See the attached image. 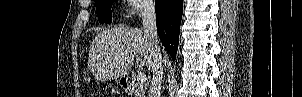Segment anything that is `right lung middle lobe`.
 Segmentation results:
<instances>
[{
    "label": "right lung middle lobe",
    "mask_w": 302,
    "mask_h": 97,
    "mask_svg": "<svg viewBox=\"0 0 302 97\" xmlns=\"http://www.w3.org/2000/svg\"><path fill=\"white\" fill-rule=\"evenodd\" d=\"M114 0H96V12L101 23L112 21L111 7Z\"/></svg>",
    "instance_id": "1"
}]
</instances>
